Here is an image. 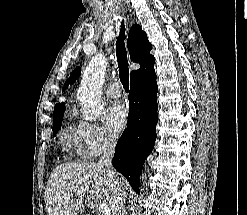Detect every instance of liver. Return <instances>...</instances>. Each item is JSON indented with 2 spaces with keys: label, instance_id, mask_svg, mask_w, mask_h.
<instances>
[{
  "label": "liver",
  "instance_id": "liver-1",
  "mask_svg": "<svg viewBox=\"0 0 247 215\" xmlns=\"http://www.w3.org/2000/svg\"><path fill=\"white\" fill-rule=\"evenodd\" d=\"M117 178L123 188V178ZM86 192L95 205L109 204L112 210L114 188L104 168L93 162L60 164L51 173L45 190L47 215L81 214Z\"/></svg>",
  "mask_w": 247,
  "mask_h": 215
}]
</instances>
